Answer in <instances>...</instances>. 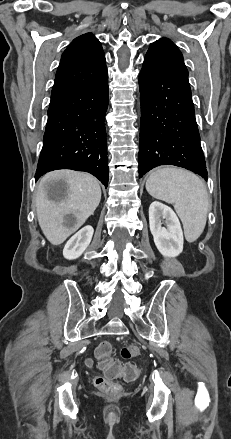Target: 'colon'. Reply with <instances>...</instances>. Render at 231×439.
Returning a JSON list of instances; mask_svg holds the SVG:
<instances>
[{
  "label": "colon",
  "instance_id": "5ec220e1",
  "mask_svg": "<svg viewBox=\"0 0 231 439\" xmlns=\"http://www.w3.org/2000/svg\"><path fill=\"white\" fill-rule=\"evenodd\" d=\"M111 352L112 349L108 343H102L96 349L98 365L103 374L95 376L93 381L97 388L106 392H116L120 389L115 379L122 377L126 381H133L139 374L135 365L121 364L112 357ZM139 354L140 349L137 346H126L121 350V356L124 359H130Z\"/></svg>",
  "mask_w": 231,
  "mask_h": 439
}]
</instances>
